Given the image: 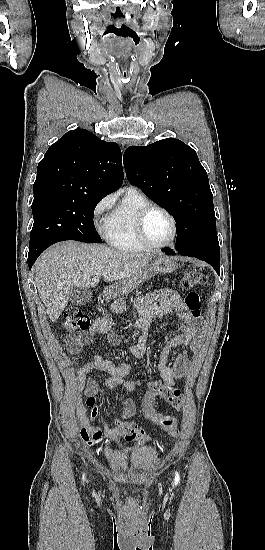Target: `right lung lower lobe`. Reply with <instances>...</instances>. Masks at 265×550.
<instances>
[{
    "instance_id": "obj_1",
    "label": "right lung lower lobe",
    "mask_w": 265,
    "mask_h": 550,
    "mask_svg": "<svg viewBox=\"0 0 265 550\" xmlns=\"http://www.w3.org/2000/svg\"><path fill=\"white\" fill-rule=\"evenodd\" d=\"M43 251H44V250H43ZM43 251H38V252H35V253L28 254V266H29V269H31V267H32V265L34 264L35 260L38 258V256H39Z\"/></svg>"
}]
</instances>
